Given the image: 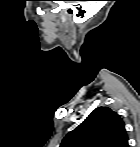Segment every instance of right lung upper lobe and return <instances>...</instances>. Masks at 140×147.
<instances>
[{"mask_svg":"<svg viewBox=\"0 0 140 147\" xmlns=\"http://www.w3.org/2000/svg\"><path fill=\"white\" fill-rule=\"evenodd\" d=\"M60 147H128L125 123L108 107H98L62 140Z\"/></svg>","mask_w":140,"mask_h":147,"instance_id":"right-lung-upper-lobe-1","label":"right lung upper lobe"}]
</instances>
